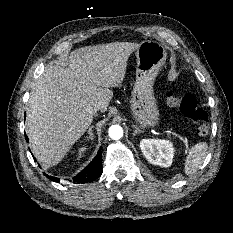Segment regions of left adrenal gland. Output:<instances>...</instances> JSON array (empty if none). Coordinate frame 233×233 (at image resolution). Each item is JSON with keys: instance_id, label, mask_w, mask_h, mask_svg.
<instances>
[{"instance_id": "a2214340", "label": "left adrenal gland", "mask_w": 233, "mask_h": 233, "mask_svg": "<svg viewBox=\"0 0 233 233\" xmlns=\"http://www.w3.org/2000/svg\"><path fill=\"white\" fill-rule=\"evenodd\" d=\"M134 127H135V131H134V133H133V136H135L136 134L142 132L137 126H134Z\"/></svg>"}]
</instances>
